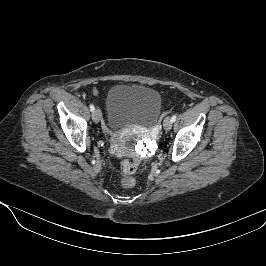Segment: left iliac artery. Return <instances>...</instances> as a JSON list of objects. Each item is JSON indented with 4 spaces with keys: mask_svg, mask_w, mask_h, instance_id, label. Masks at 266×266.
Instances as JSON below:
<instances>
[{
    "mask_svg": "<svg viewBox=\"0 0 266 266\" xmlns=\"http://www.w3.org/2000/svg\"><path fill=\"white\" fill-rule=\"evenodd\" d=\"M176 119H177V116H176V115H173V116L171 117V121H172V122H175Z\"/></svg>",
    "mask_w": 266,
    "mask_h": 266,
    "instance_id": "left-iliac-artery-1",
    "label": "left iliac artery"
}]
</instances>
